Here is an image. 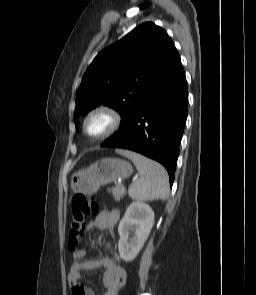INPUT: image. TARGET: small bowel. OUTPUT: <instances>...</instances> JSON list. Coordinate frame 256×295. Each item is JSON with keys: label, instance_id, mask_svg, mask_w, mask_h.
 Segmentation results:
<instances>
[{"label": "small bowel", "instance_id": "1", "mask_svg": "<svg viewBox=\"0 0 256 295\" xmlns=\"http://www.w3.org/2000/svg\"><path fill=\"white\" fill-rule=\"evenodd\" d=\"M120 219V213L116 209L102 211L87 226V232L92 230H112ZM87 252L84 249L77 250L73 254L74 261L71 264L67 279L72 289L73 295H95L94 291L83 285L82 272L103 268L102 283L105 288L104 295H117L119 289L127 278V272L120 263V259L115 254V259L101 257L84 260Z\"/></svg>", "mask_w": 256, "mask_h": 295}]
</instances>
